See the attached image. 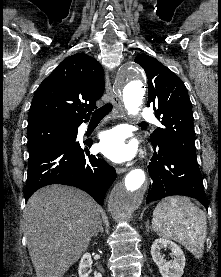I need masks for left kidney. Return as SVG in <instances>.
Masks as SVG:
<instances>
[{"label":"left kidney","instance_id":"1","mask_svg":"<svg viewBox=\"0 0 221 277\" xmlns=\"http://www.w3.org/2000/svg\"><path fill=\"white\" fill-rule=\"evenodd\" d=\"M170 249L174 255V260L166 261L161 254V250ZM151 256L155 264L159 268L162 277H181L185 267V256L177 244L174 242L158 238L151 246Z\"/></svg>","mask_w":221,"mask_h":277}]
</instances>
